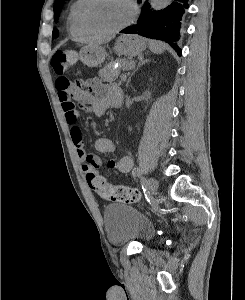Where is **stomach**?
<instances>
[{"mask_svg": "<svg viewBox=\"0 0 245 300\" xmlns=\"http://www.w3.org/2000/svg\"><path fill=\"white\" fill-rule=\"evenodd\" d=\"M145 41L136 35H121L114 46V51L118 55L135 56L145 50ZM107 53L99 45L85 46L80 50L79 59L88 67H97L105 61Z\"/></svg>", "mask_w": 245, "mask_h": 300, "instance_id": "stomach-1", "label": "stomach"}]
</instances>
